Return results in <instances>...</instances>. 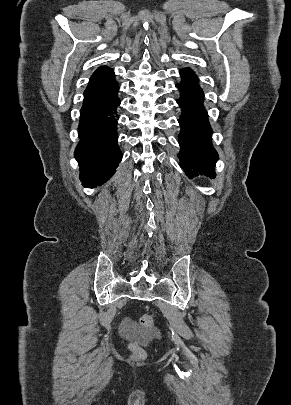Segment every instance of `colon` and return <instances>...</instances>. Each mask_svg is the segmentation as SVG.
<instances>
[{
  "instance_id": "obj_1",
  "label": "colon",
  "mask_w": 291,
  "mask_h": 405,
  "mask_svg": "<svg viewBox=\"0 0 291 405\" xmlns=\"http://www.w3.org/2000/svg\"><path fill=\"white\" fill-rule=\"evenodd\" d=\"M155 323L153 314H145L140 318V326L143 332L150 331ZM130 349L132 351V357L135 360H142L146 357L145 351L140 347L137 340L131 342Z\"/></svg>"
}]
</instances>
